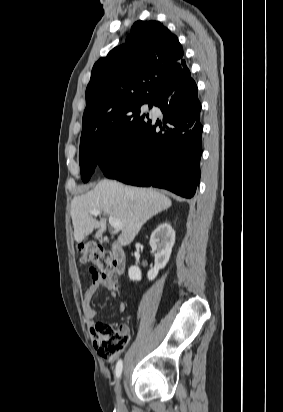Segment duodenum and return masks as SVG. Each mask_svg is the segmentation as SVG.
<instances>
[{
	"instance_id": "obj_1",
	"label": "duodenum",
	"mask_w": 283,
	"mask_h": 412,
	"mask_svg": "<svg viewBox=\"0 0 283 412\" xmlns=\"http://www.w3.org/2000/svg\"><path fill=\"white\" fill-rule=\"evenodd\" d=\"M112 258L115 262L117 273H123L126 265V256L120 244L114 243L112 247Z\"/></svg>"
}]
</instances>
